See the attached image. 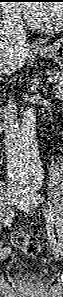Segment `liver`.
<instances>
[{
	"label": "liver",
	"mask_w": 63,
	"mask_h": 297,
	"mask_svg": "<svg viewBox=\"0 0 63 297\" xmlns=\"http://www.w3.org/2000/svg\"><path fill=\"white\" fill-rule=\"evenodd\" d=\"M30 53L26 38H17L10 33L0 34V74L9 75L25 64Z\"/></svg>",
	"instance_id": "1"
}]
</instances>
